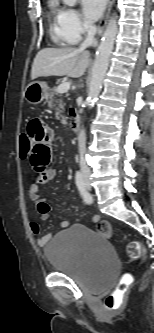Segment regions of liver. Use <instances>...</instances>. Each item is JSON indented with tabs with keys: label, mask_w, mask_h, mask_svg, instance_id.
<instances>
[{
	"label": "liver",
	"mask_w": 154,
	"mask_h": 333,
	"mask_svg": "<svg viewBox=\"0 0 154 333\" xmlns=\"http://www.w3.org/2000/svg\"><path fill=\"white\" fill-rule=\"evenodd\" d=\"M89 62L90 54L84 50L74 47L44 48L33 61L31 79L64 75L79 78L87 70Z\"/></svg>",
	"instance_id": "obj_1"
}]
</instances>
